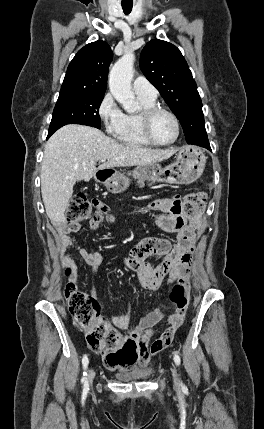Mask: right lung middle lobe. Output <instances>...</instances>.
Segmentation results:
<instances>
[{
    "mask_svg": "<svg viewBox=\"0 0 264 429\" xmlns=\"http://www.w3.org/2000/svg\"><path fill=\"white\" fill-rule=\"evenodd\" d=\"M104 94L60 92L49 127L50 137L60 127L76 123L100 128L98 109Z\"/></svg>",
    "mask_w": 264,
    "mask_h": 429,
    "instance_id": "1",
    "label": "right lung middle lobe"
}]
</instances>
